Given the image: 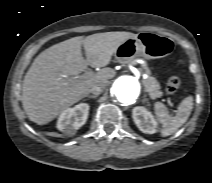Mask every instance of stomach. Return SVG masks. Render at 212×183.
Instances as JSON below:
<instances>
[{"label": "stomach", "mask_w": 212, "mask_h": 183, "mask_svg": "<svg viewBox=\"0 0 212 183\" xmlns=\"http://www.w3.org/2000/svg\"><path fill=\"white\" fill-rule=\"evenodd\" d=\"M175 49V41L165 35L154 32H140L123 42L114 56L120 63H127L137 56L147 60L163 58Z\"/></svg>", "instance_id": "0dacf381"}]
</instances>
